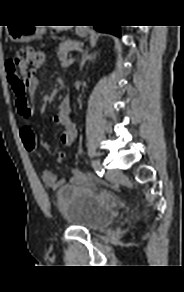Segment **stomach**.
<instances>
[{"label":"stomach","instance_id":"stomach-1","mask_svg":"<svg viewBox=\"0 0 184 292\" xmlns=\"http://www.w3.org/2000/svg\"><path fill=\"white\" fill-rule=\"evenodd\" d=\"M43 33V28L39 26H27L23 29H10V38L15 42L30 41L38 38ZM80 36L86 34L85 31L78 33Z\"/></svg>","mask_w":184,"mask_h":292}]
</instances>
